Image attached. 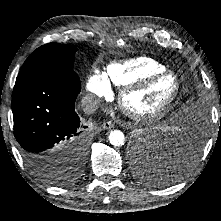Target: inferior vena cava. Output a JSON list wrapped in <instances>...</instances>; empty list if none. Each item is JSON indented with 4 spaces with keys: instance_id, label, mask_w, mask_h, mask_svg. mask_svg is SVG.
Wrapping results in <instances>:
<instances>
[{
    "instance_id": "inferior-vena-cava-1",
    "label": "inferior vena cava",
    "mask_w": 221,
    "mask_h": 221,
    "mask_svg": "<svg viewBox=\"0 0 221 221\" xmlns=\"http://www.w3.org/2000/svg\"><path fill=\"white\" fill-rule=\"evenodd\" d=\"M100 100L93 96L87 95L81 101L82 109L86 114H93L99 107Z\"/></svg>"
}]
</instances>
